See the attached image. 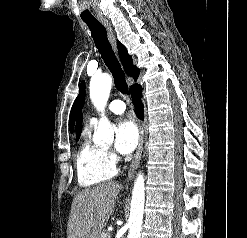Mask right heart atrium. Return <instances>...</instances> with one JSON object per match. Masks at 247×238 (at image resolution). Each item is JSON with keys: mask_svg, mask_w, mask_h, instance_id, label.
<instances>
[{"mask_svg": "<svg viewBox=\"0 0 247 238\" xmlns=\"http://www.w3.org/2000/svg\"><path fill=\"white\" fill-rule=\"evenodd\" d=\"M107 155L112 163L115 164L117 162L118 158L115 154H113L112 152H107Z\"/></svg>", "mask_w": 247, "mask_h": 238, "instance_id": "right-heart-atrium-1", "label": "right heart atrium"}]
</instances>
